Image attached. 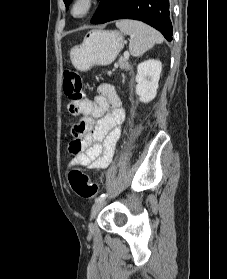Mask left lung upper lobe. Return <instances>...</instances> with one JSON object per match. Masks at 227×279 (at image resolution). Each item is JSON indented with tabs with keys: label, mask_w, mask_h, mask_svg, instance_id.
Returning a JSON list of instances; mask_svg holds the SVG:
<instances>
[{
	"label": "left lung upper lobe",
	"mask_w": 227,
	"mask_h": 279,
	"mask_svg": "<svg viewBox=\"0 0 227 279\" xmlns=\"http://www.w3.org/2000/svg\"><path fill=\"white\" fill-rule=\"evenodd\" d=\"M65 5H66V8L69 7V4L71 3L72 0H63Z\"/></svg>",
	"instance_id": "obj_1"
}]
</instances>
